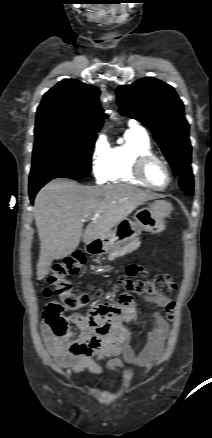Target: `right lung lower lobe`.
Wrapping results in <instances>:
<instances>
[{
	"instance_id": "right-lung-lower-lobe-1",
	"label": "right lung lower lobe",
	"mask_w": 212,
	"mask_h": 438,
	"mask_svg": "<svg viewBox=\"0 0 212 438\" xmlns=\"http://www.w3.org/2000/svg\"><path fill=\"white\" fill-rule=\"evenodd\" d=\"M86 176L87 175L44 174V175L30 177V182H29L30 201L31 203H33L34 197L36 193L39 191V189L54 178L65 177V178L78 179Z\"/></svg>"
}]
</instances>
